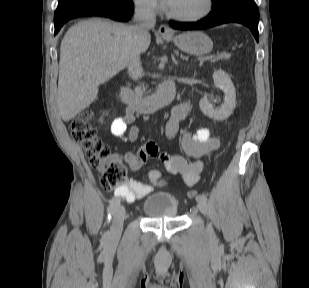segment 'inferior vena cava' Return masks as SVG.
<instances>
[{
    "label": "inferior vena cava",
    "mask_w": 309,
    "mask_h": 288,
    "mask_svg": "<svg viewBox=\"0 0 309 288\" xmlns=\"http://www.w3.org/2000/svg\"><path fill=\"white\" fill-rule=\"evenodd\" d=\"M134 22L135 24L131 27V31L135 42L139 44L140 40L149 33L148 30L154 27L156 23L153 3L150 0L136 1ZM140 54V50L136 47L126 61L128 73L134 80L142 76Z\"/></svg>",
    "instance_id": "1"
}]
</instances>
